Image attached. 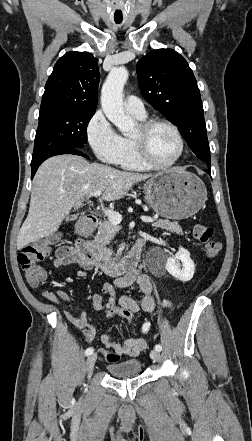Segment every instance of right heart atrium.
Returning <instances> with one entry per match:
<instances>
[{
  "instance_id": "d8ad5b80",
  "label": "right heart atrium",
  "mask_w": 252,
  "mask_h": 441,
  "mask_svg": "<svg viewBox=\"0 0 252 441\" xmlns=\"http://www.w3.org/2000/svg\"><path fill=\"white\" fill-rule=\"evenodd\" d=\"M86 138L94 155L102 162L118 164L124 150L123 137L105 114L96 111L86 126Z\"/></svg>"
}]
</instances>
